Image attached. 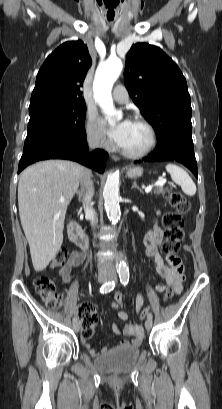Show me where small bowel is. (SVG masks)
Instances as JSON below:
<instances>
[{
    "mask_svg": "<svg viewBox=\"0 0 222 409\" xmlns=\"http://www.w3.org/2000/svg\"><path fill=\"white\" fill-rule=\"evenodd\" d=\"M163 240V231L159 227L151 228L145 235L144 245L145 254L153 258L156 266L157 273L165 280L166 285H157L156 291L161 293L166 287L170 288L174 294H179L182 291V282L184 280V259L183 256H168L167 262L164 261L163 257L159 252V245ZM85 254L81 252H73L69 257L66 265L60 269L59 278L63 283L70 282L73 277L71 276V270L73 267L80 265L85 260ZM144 295L139 294L135 298V308L138 313H140L144 308ZM91 306V305H90ZM111 306L116 310L117 316L121 321L127 322L129 319L128 313L124 310V299L120 292H116L113 296ZM112 331L116 335L121 333L129 337L130 340L123 339L120 341L119 346L127 345H138L141 343L143 338V327L141 325H134L127 322L121 331L116 325H112ZM88 351L91 356L95 357L100 355H105L109 352L107 347H103L100 352L95 349L88 347Z\"/></svg>",
    "mask_w": 222,
    "mask_h": 409,
    "instance_id": "small-bowel-1",
    "label": "small bowel"
}]
</instances>
